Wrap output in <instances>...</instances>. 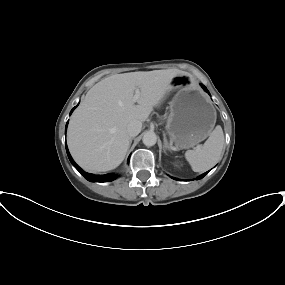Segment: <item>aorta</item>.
<instances>
[{
    "instance_id": "aorta-1",
    "label": "aorta",
    "mask_w": 285,
    "mask_h": 285,
    "mask_svg": "<svg viewBox=\"0 0 285 285\" xmlns=\"http://www.w3.org/2000/svg\"><path fill=\"white\" fill-rule=\"evenodd\" d=\"M142 141L145 146H154L157 142V136L154 132L148 131L144 134Z\"/></svg>"
}]
</instances>
